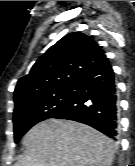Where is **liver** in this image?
<instances>
[{
  "instance_id": "obj_1",
  "label": "liver",
  "mask_w": 135,
  "mask_h": 166,
  "mask_svg": "<svg viewBox=\"0 0 135 166\" xmlns=\"http://www.w3.org/2000/svg\"><path fill=\"white\" fill-rule=\"evenodd\" d=\"M26 153L14 166H110L115 146L97 130L70 120L48 119L24 136Z\"/></svg>"
}]
</instances>
